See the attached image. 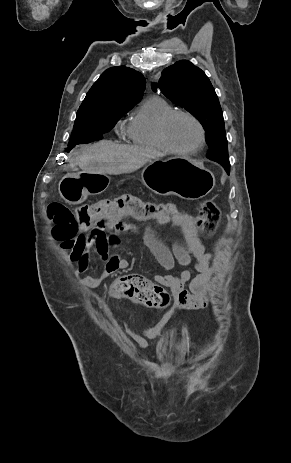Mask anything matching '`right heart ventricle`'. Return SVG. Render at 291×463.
I'll return each instance as SVG.
<instances>
[{
	"mask_svg": "<svg viewBox=\"0 0 291 463\" xmlns=\"http://www.w3.org/2000/svg\"><path fill=\"white\" fill-rule=\"evenodd\" d=\"M174 111L175 108L161 97L152 96L145 99L127 124L128 140L139 146L165 151L158 129L161 121Z\"/></svg>",
	"mask_w": 291,
	"mask_h": 463,
	"instance_id": "1",
	"label": "right heart ventricle"
}]
</instances>
